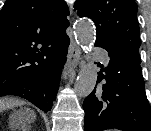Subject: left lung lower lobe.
Returning a JSON list of instances; mask_svg holds the SVG:
<instances>
[{"mask_svg": "<svg viewBox=\"0 0 151 131\" xmlns=\"http://www.w3.org/2000/svg\"><path fill=\"white\" fill-rule=\"evenodd\" d=\"M109 57L108 67L98 72L99 85L83 102L84 130L151 131V108L140 65Z\"/></svg>", "mask_w": 151, "mask_h": 131, "instance_id": "0a47b994", "label": "left lung lower lobe"}]
</instances>
